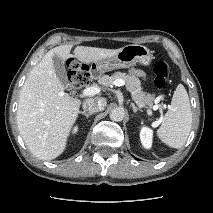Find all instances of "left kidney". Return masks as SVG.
Here are the masks:
<instances>
[{
    "label": "left kidney",
    "mask_w": 213,
    "mask_h": 213,
    "mask_svg": "<svg viewBox=\"0 0 213 213\" xmlns=\"http://www.w3.org/2000/svg\"><path fill=\"white\" fill-rule=\"evenodd\" d=\"M153 132L148 127H142L140 132V140L144 148L150 149L152 146Z\"/></svg>",
    "instance_id": "left-kidney-1"
}]
</instances>
